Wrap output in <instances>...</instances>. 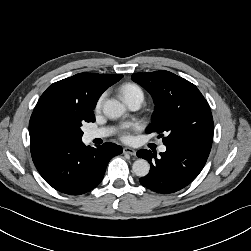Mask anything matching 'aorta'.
<instances>
[{
  "label": "aorta",
  "mask_w": 251,
  "mask_h": 251,
  "mask_svg": "<svg viewBox=\"0 0 251 251\" xmlns=\"http://www.w3.org/2000/svg\"><path fill=\"white\" fill-rule=\"evenodd\" d=\"M103 113L112 119L119 118L125 113V106L115 99L106 100L103 104ZM133 173L138 177H145L150 170L149 163L144 159H138L133 163Z\"/></svg>",
  "instance_id": "aorta-1"
}]
</instances>
